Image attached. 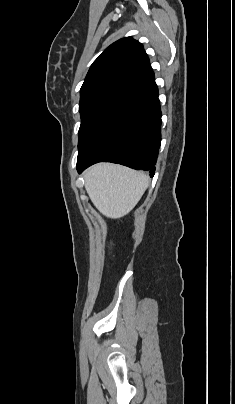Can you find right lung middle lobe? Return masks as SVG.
Listing matches in <instances>:
<instances>
[{"instance_id":"right-lung-middle-lobe-1","label":"right lung middle lobe","mask_w":235,"mask_h":404,"mask_svg":"<svg viewBox=\"0 0 235 404\" xmlns=\"http://www.w3.org/2000/svg\"><path fill=\"white\" fill-rule=\"evenodd\" d=\"M128 86L129 84L126 83H103L80 91L81 126L78 147L105 113L120 99Z\"/></svg>"}]
</instances>
